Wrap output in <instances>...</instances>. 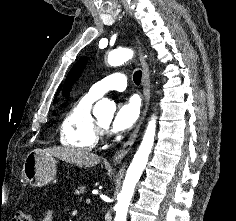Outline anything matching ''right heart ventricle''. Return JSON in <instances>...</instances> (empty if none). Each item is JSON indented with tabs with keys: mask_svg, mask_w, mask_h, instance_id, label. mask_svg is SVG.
Returning <instances> with one entry per match:
<instances>
[{
	"mask_svg": "<svg viewBox=\"0 0 236 221\" xmlns=\"http://www.w3.org/2000/svg\"><path fill=\"white\" fill-rule=\"evenodd\" d=\"M94 101L95 98L85 94L66 112L60 124V142L63 146L77 150L95 147L99 134L91 112Z\"/></svg>",
	"mask_w": 236,
	"mask_h": 221,
	"instance_id": "e07e8e85",
	"label": "right heart ventricle"
}]
</instances>
